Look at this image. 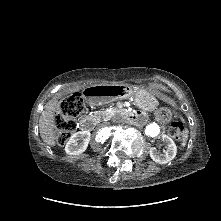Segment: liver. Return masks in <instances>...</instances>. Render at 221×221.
<instances>
[{"label":"liver","instance_id":"6515ba94","mask_svg":"<svg viewBox=\"0 0 221 221\" xmlns=\"http://www.w3.org/2000/svg\"><path fill=\"white\" fill-rule=\"evenodd\" d=\"M57 98L48 102L39 119V131L42 140L49 146H55V111Z\"/></svg>","mask_w":221,"mask_h":221}]
</instances>
